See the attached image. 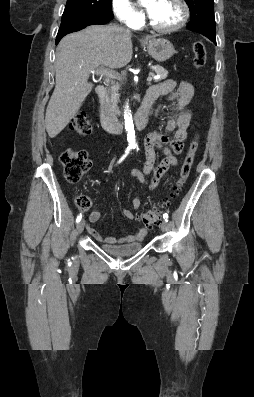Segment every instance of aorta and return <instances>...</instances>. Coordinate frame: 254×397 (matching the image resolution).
<instances>
[{
	"instance_id": "obj_1",
	"label": "aorta",
	"mask_w": 254,
	"mask_h": 397,
	"mask_svg": "<svg viewBox=\"0 0 254 397\" xmlns=\"http://www.w3.org/2000/svg\"><path fill=\"white\" fill-rule=\"evenodd\" d=\"M124 120H125V129L127 131V140L130 146H135V130L133 119L130 111L128 110V106L126 111L124 112Z\"/></svg>"
}]
</instances>
